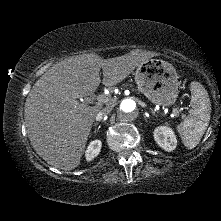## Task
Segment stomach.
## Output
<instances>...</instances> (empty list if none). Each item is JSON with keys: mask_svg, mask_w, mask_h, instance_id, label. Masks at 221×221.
Returning <instances> with one entry per match:
<instances>
[{"mask_svg": "<svg viewBox=\"0 0 221 221\" xmlns=\"http://www.w3.org/2000/svg\"><path fill=\"white\" fill-rule=\"evenodd\" d=\"M178 74L174 66L162 59H148L135 72L139 90L153 103L174 104L178 96Z\"/></svg>", "mask_w": 221, "mask_h": 221, "instance_id": "1", "label": "stomach"}]
</instances>
